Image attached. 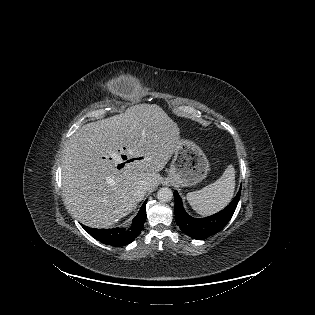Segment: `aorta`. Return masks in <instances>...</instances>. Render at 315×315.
Returning a JSON list of instances; mask_svg holds the SVG:
<instances>
[{
  "label": "aorta",
  "mask_w": 315,
  "mask_h": 315,
  "mask_svg": "<svg viewBox=\"0 0 315 315\" xmlns=\"http://www.w3.org/2000/svg\"><path fill=\"white\" fill-rule=\"evenodd\" d=\"M173 198V192L170 188L163 187L160 188L159 191L157 192V199L160 202H170Z\"/></svg>",
  "instance_id": "1"
}]
</instances>
